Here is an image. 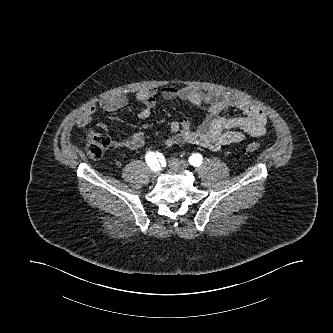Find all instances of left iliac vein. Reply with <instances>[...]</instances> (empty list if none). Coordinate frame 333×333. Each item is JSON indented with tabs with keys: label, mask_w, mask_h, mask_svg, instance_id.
<instances>
[{
	"label": "left iliac vein",
	"mask_w": 333,
	"mask_h": 333,
	"mask_svg": "<svg viewBox=\"0 0 333 333\" xmlns=\"http://www.w3.org/2000/svg\"><path fill=\"white\" fill-rule=\"evenodd\" d=\"M168 166L170 169L180 172L186 169L187 164L183 161L170 160Z\"/></svg>",
	"instance_id": "1"
}]
</instances>
